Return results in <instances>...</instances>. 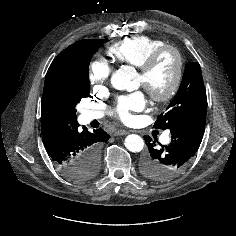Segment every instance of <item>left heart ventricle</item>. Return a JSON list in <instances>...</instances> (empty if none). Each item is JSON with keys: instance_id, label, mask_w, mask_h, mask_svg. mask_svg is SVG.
<instances>
[{"instance_id": "b2bd125f", "label": "left heart ventricle", "mask_w": 236, "mask_h": 236, "mask_svg": "<svg viewBox=\"0 0 236 236\" xmlns=\"http://www.w3.org/2000/svg\"><path fill=\"white\" fill-rule=\"evenodd\" d=\"M175 71V58L172 54H165L157 64L154 71L151 73L148 79V83L154 89L158 91L166 90L173 78ZM138 82L140 85L143 84V78L138 74Z\"/></svg>"}]
</instances>
